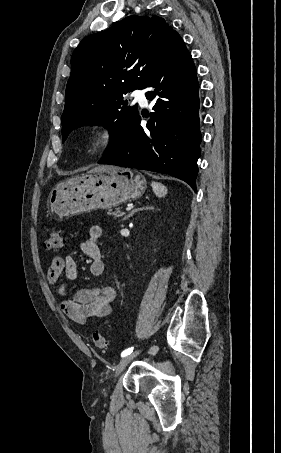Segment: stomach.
Wrapping results in <instances>:
<instances>
[{"label": "stomach", "instance_id": "1", "mask_svg": "<svg viewBox=\"0 0 281 453\" xmlns=\"http://www.w3.org/2000/svg\"><path fill=\"white\" fill-rule=\"evenodd\" d=\"M146 184L143 174L120 166L74 176L52 188L48 196L49 212L52 216L63 218L117 206L142 196Z\"/></svg>", "mask_w": 281, "mask_h": 453}]
</instances>
